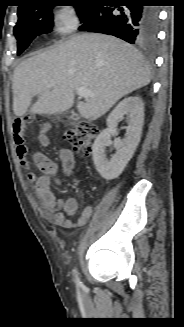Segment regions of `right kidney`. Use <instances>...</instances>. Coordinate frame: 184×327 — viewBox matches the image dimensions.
Instances as JSON below:
<instances>
[{"mask_svg": "<svg viewBox=\"0 0 184 327\" xmlns=\"http://www.w3.org/2000/svg\"><path fill=\"white\" fill-rule=\"evenodd\" d=\"M124 115L127 116L128 122L125 137L114 142L116 153L108 160L105 147L109 145L111 133ZM143 122L144 104L138 96L123 99L110 113L107 118L108 128L98 135L93 145L94 164L104 179L117 178L123 172L140 142Z\"/></svg>", "mask_w": 184, "mask_h": 327, "instance_id": "1", "label": "right kidney"}]
</instances>
